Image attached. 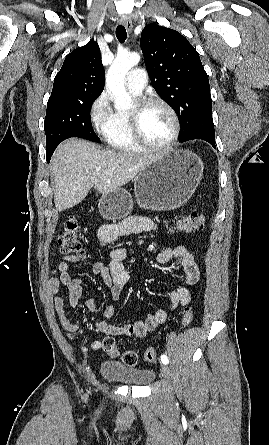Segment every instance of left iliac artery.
Returning <instances> with one entry per match:
<instances>
[{
  "label": "left iliac artery",
  "mask_w": 269,
  "mask_h": 445,
  "mask_svg": "<svg viewBox=\"0 0 269 445\" xmlns=\"http://www.w3.org/2000/svg\"><path fill=\"white\" fill-rule=\"evenodd\" d=\"M161 361L163 364H168V357L166 355H161Z\"/></svg>",
  "instance_id": "obj_1"
}]
</instances>
